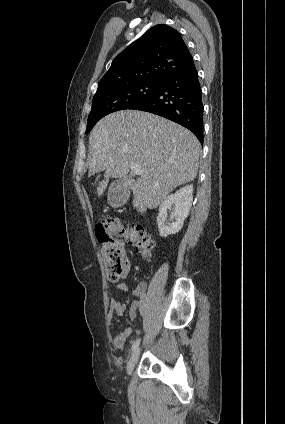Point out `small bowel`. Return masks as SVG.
<instances>
[{"mask_svg": "<svg viewBox=\"0 0 285 424\" xmlns=\"http://www.w3.org/2000/svg\"><path fill=\"white\" fill-rule=\"evenodd\" d=\"M130 269V264L127 262L123 273V277L127 275ZM115 287L118 291L125 293L128 290V286L125 282L119 280L114 281ZM145 283H140L132 290L134 300L128 311V317L130 320H134L138 314H143L148 309V300L145 295ZM126 311L125 303L116 298L112 297L109 305V319L113 320L116 317L122 316ZM130 330L125 328L118 331L113 337V346L117 349H122L129 337Z\"/></svg>", "mask_w": 285, "mask_h": 424, "instance_id": "1", "label": "small bowel"}]
</instances>
